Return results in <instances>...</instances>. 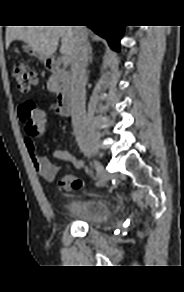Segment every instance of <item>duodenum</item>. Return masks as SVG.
Masks as SVG:
<instances>
[{
	"instance_id": "410a0bca",
	"label": "duodenum",
	"mask_w": 184,
	"mask_h": 292,
	"mask_svg": "<svg viewBox=\"0 0 184 292\" xmlns=\"http://www.w3.org/2000/svg\"><path fill=\"white\" fill-rule=\"evenodd\" d=\"M48 70L53 73L59 84L57 107L62 116H72L79 103V95L71 84V75L64 70L57 58L51 57L47 61Z\"/></svg>"
}]
</instances>
